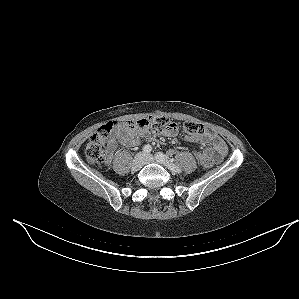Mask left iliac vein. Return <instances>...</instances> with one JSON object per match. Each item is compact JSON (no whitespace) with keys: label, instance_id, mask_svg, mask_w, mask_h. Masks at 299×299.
Wrapping results in <instances>:
<instances>
[{"label":"left iliac vein","instance_id":"left-iliac-vein-1","mask_svg":"<svg viewBox=\"0 0 299 299\" xmlns=\"http://www.w3.org/2000/svg\"><path fill=\"white\" fill-rule=\"evenodd\" d=\"M155 161H157V160H155V158L152 155H149V154L145 155V164H147V163H153ZM157 162L160 163V164H162V165H165L162 162H159V161H157Z\"/></svg>","mask_w":299,"mask_h":299}]
</instances>
